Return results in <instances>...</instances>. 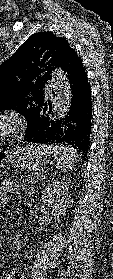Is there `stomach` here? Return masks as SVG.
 I'll use <instances>...</instances> for the list:
<instances>
[{
  "mask_svg": "<svg viewBox=\"0 0 113 279\" xmlns=\"http://www.w3.org/2000/svg\"><path fill=\"white\" fill-rule=\"evenodd\" d=\"M51 156L52 154L41 145L26 144L11 149L7 152L2 162L22 170L36 171L48 165L51 161Z\"/></svg>",
  "mask_w": 113,
  "mask_h": 279,
  "instance_id": "obj_1",
  "label": "stomach"
}]
</instances>
